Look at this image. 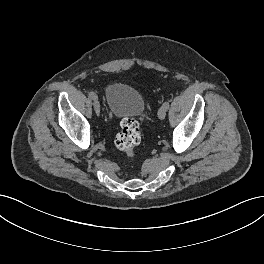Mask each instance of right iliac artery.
<instances>
[{"instance_id":"right-iliac-artery-1","label":"right iliac artery","mask_w":264,"mask_h":264,"mask_svg":"<svg viewBox=\"0 0 264 264\" xmlns=\"http://www.w3.org/2000/svg\"><path fill=\"white\" fill-rule=\"evenodd\" d=\"M89 97L93 100L97 99V95L94 92H89Z\"/></svg>"}]
</instances>
